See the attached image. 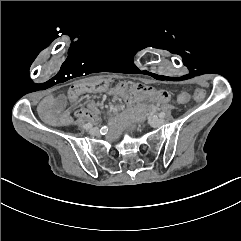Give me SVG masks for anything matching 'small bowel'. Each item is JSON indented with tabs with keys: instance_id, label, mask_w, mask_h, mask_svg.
Masks as SVG:
<instances>
[{
	"instance_id": "obj_1",
	"label": "small bowel",
	"mask_w": 241,
	"mask_h": 241,
	"mask_svg": "<svg viewBox=\"0 0 241 241\" xmlns=\"http://www.w3.org/2000/svg\"><path fill=\"white\" fill-rule=\"evenodd\" d=\"M106 82L108 84L107 93L118 97H126V86L124 84L112 85L109 81ZM133 94L136 98L148 103H167L172 98V93L167 88H151L143 84L136 85L133 89ZM76 113L81 121H86L87 119L95 121L97 119L96 109L92 103L89 105V110L81 108L78 112L76 111L75 114ZM126 131L130 132L131 129L127 128Z\"/></svg>"
}]
</instances>
